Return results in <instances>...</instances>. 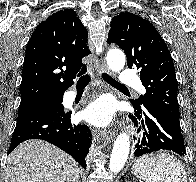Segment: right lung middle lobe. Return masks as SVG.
<instances>
[{
  "instance_id": "right-lung-middle-lobe-1",
  "label": "right lung middle lobe",
  "mask_w": 196,
  "mask_h": 182,
  "mask_svg": "<svg viewBox=\"0 0 196 182\" xmlns=\"http://www.w3.org/2000/svg\"><path fill=\"white\" fill-rule=\"evenodd\" d=\"M62 101L63 97L61 96L35 103L20 105L18 111V119L38 112L63 110L64 108Z\"/></svg>"
}]
</instances>
